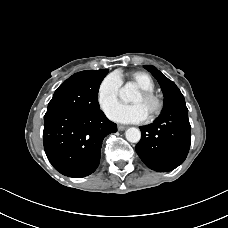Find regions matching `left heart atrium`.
<instances>
[{
	"mask_svg": "<svg viewBox=\"0 0 228 228\" xmlns=\"http://www.w3.org/2000/svg\"><path fill=\"white\" fill-rule=\"evenodd\" d=\"M107 117L118 123H139L146 119L147 113L140 104L114 103L106 110Z\"/></svg>",
	"mask_w": 228,
	"mask_h": 228,
	"instance_id": "1",
	"label": "left heart atrium"
}]
</instances>
